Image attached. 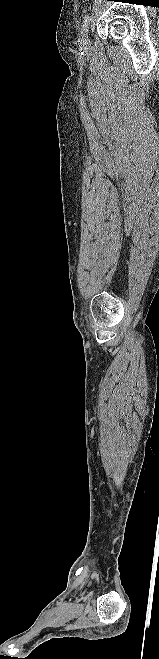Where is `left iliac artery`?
Wrapping results in <instances>:
<instances>
[{
  "label": "left iliac artery",
  "instance_id": "left-iliac-artery-1",
  "mask_svg": "<svg viewBox=\"0 0 159 659\" xmlns=\"http://www.w3.org/2000/svg\"><path fill=\"white\" fill-rule=\"evenodd\" d=\"M90 21H91V16H90V15H86V16L84 17V19H83V26H82L83 31H86V30H87Z\"/></svg>",
  "mask_w": 159,
  "mask_h": 659
}]
</instances>
